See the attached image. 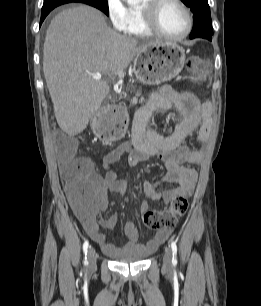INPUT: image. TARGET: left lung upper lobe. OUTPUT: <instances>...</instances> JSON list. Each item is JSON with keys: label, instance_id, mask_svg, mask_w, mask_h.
I'll list each match as a JSON object with an SVG mask.
<instances>
[{"label": "left lung upper lobe", "instance_id": "5c2ea615", "mask_svg": "<svg viewBox=\"0 0 261 306\" xmlns=\"http://www.w3.org/2000/svg\"><path fill=\"white\" fill-rule=\"evenodd\" d=\"M193 13V29L190 38L212 40L213 30L208 0H181Z\"/></svg>", "mask_w": 261, "mask_h": 306}]
</instances>
